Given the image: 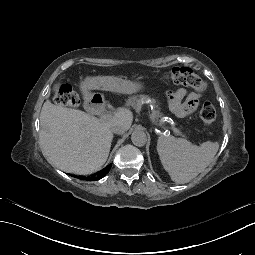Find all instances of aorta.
Segmentation results:
<instances>
[{
    "label": "aorta",
    "instance_id": "aorta-1",
    "mask_svg": "<svg viewBox=\"0 0 255 255\" xmlns=\"http://www.w3.org/2000/svg\"><path fill=\"white\" fill-rule=\"evenodd\" d=\"M131 140L135 146L142 147L147 142V135L142 130H135L131 135Z\"/></svg>",
    "mask_w": 255,
    "mask_h": 255
}]
</instances>
